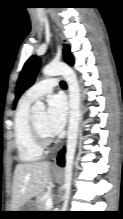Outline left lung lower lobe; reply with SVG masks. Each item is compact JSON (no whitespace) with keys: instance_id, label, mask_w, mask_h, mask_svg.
<instances>
[{"instance_id":"obj_1","label":"left lung lower lobe","mask_w":123,"mask_h":219,"mask_svg":"<svg viewBox=\"0 0 123 219\" xmlns=\"http://www.w3.org/2000/svg\"><path fill=\"white\" fill-rule=\"evenodd\" d=\"M64 150H61L58 157H57V160H58V164L60 166H64Z\"/></svg>"}]
</instances>
